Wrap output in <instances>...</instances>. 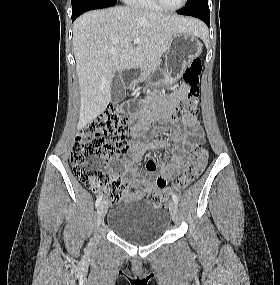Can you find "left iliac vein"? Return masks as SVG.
<instances>
[{
  "mask_svg": "<svg viewBox=\"0 0 280 285\" xmlns=\"http://www.w3.org/2000/svg\"><path fill=\"white\" fill-rule=\"evenodd\" d=\"M169 211L174 222H177L179 216V209L177 204L174 201L169 203Z\"/></svg>",
  "mask_w": 280,
  "mask_h": 285,
  "instance_id": "1",
  "label": "left iliac vein"
}]
</instances>
